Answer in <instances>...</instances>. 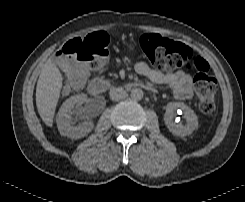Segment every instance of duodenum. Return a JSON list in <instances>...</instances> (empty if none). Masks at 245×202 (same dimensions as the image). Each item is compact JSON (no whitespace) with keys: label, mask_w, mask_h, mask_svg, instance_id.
<instances>
[{"label":"duodenum","mask_w":245,"mask_h":202,"mask_svg":"<svg viewBox=\"0 0 245 202\" xmlns=\"http://www.w3.org/2000/svg\"><path fill=\"white\" fill-rule=\"evenodd\" d=\"M109 85L110 82L105 79H93L88 83V91L92 96H97L105 91ZM127 87L129 89L139 88L149 92H155L154 88L150 84L142 81L129 83L127 84Z\"/></svg>","instance_id":"duodenum-1"}]
</instances>
